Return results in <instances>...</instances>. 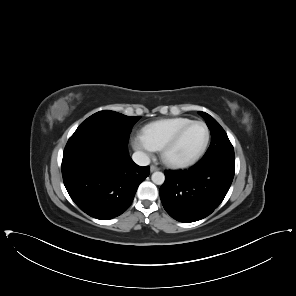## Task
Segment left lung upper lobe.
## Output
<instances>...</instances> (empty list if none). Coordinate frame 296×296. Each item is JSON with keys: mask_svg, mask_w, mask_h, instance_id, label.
<instances>
[{"mask_svg": "<svg viewBox=\"0 0 296 296\" xmlns=\"http://www.w3.org/2000/svg\"><path fill=\"white\" fill-rule=\"evenodd\" d=\"M199 114L205 118L211 133V144L199 162L208 164L221 157H234L233 146L220 124L205 112L200 111Z\"/></svg>", "mask_w": 296, "mask_h": 296, "instance_id": "1", "label": "left lung upper lobe"}]
</instances>
